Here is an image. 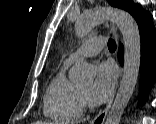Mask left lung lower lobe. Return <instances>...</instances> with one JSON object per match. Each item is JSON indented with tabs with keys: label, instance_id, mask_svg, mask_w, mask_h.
<instances>
[{
	"label": "left lung lower lobe",
	"instance_id": "0a47b994",
	"mask_svg": "<svg viewBox=\"0 0 156 124\" xmlns=\"http://www.w3.org/2000/svg\"><path fill=\"white\" fill-rule=\"evenodd\" d=\"M136 20L141 39V80L140 101H146L148 92L156 77V29L153 26V17L140 6L132 14ZM118 59L123 64V47H119Z\"/></svg>",
	"mask_w": 156,
	"mask_h": 124
}]
</instances>
